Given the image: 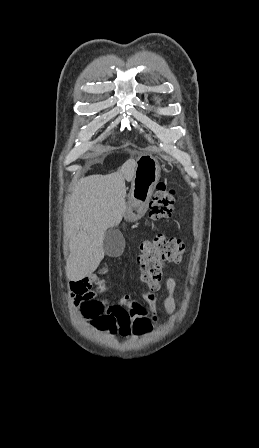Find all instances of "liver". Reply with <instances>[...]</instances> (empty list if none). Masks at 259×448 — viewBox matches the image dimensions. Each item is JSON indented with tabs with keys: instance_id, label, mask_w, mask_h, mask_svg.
<instances>
[{
	"instance_id": "1",
	"label": "liver",
	"mask_w": 259,
	"mask_h": 448,
	"mask_svg": "<svg viewBox=\"0 0 259 448\" xmlns=\"http://www.w3.org/2000/svg\"><path fill=\"white\" fill-rule=\"evenodd\" d=\"M134 168V160H128L114 174L88 176L76 184L65 214L71 252L66 276L71 282L91 276L103 260L106 230L118 226L126 212L125 180L133 178Z\"/></svg>"
}]
</instances>
